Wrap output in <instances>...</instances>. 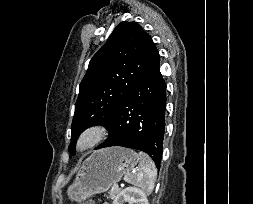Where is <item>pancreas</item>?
I'll use <instances>...</instances> for the list:
<instances>
[{"label":"pancreas","instance_id":"pancreas-1","mask_svg":"<svg viewBox=\"0 0 253 204\" xmlns=\"http://www.w3.org/2000/svg\"><path fill=\"white\" fill-rule=\"evenodd\" d=\"M120 188H115L114 186L111 187V189L109 190L108 194H109V199H115L116 195L120 192Z\"/></svg>","mask_w":253,"mask_h":204}]
</instances>
